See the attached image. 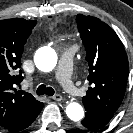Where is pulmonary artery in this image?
<instances>
[{
  "label": "pulmonary artery",
  "mask_w": 133,
  "mask_h": 133,
  "mask_svg": "<svg viewBox=\"0 0 133 133\" xmlns=\"http://www.w3.org/2000/svg\"><path fill=\"white\" fill-rule=\"evenodd\" d=\"M75 48L65 49L60 57L54 78L71 95H76L78 90L72 81L73 57Z\"/></svg>",
  "instance_id": "pulmonary-artery-1"
}]
</instances>
